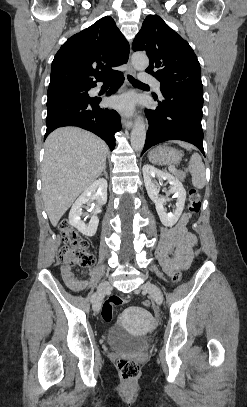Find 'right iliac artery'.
Returning a JSON list of instances; mask_svg holds the SVG:
<instances>
[{
	"label": "right iliac artery",
	"mask_w": 247,
	"mask_h": 407,
	"mask_svg": "<svg viewBox=\"0 0 247 407\" xmlns=\"http://www.w3.org/2000/svg\"><path fill=\"white\" fill-rule=\"evenodd\" d=\"M96 296H97V293H94V294L91 296V302H92V303L95 301Z\"/></svg>",
	"instance_id": "obj_1"
}]
</instances>
